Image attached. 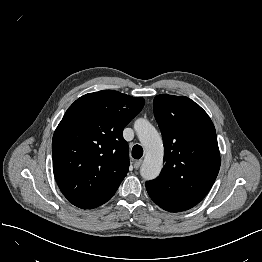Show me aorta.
Here are the masks:
<instances>
[{
  "instance_id": "aorta-1",
  "label": "aorta",
  "mask_w": 262,
  "mask_h": 262,
  "mask_svg": "<svg viewBox=\"0 0 262 262\" xmlns=\"http://www.w3.org/2000/svg\"><path fill=\"white\" fill-rule=\"evenodd\" d=\"M134 129L145 150L140 174L145 180H153L159 176L163 165L162 139L155 127L146 119H137L134 123Z\"/></svg>"
}]
</instances>
